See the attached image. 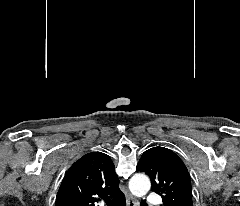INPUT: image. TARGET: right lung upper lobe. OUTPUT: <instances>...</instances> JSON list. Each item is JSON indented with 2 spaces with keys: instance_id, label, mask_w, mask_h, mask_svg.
<instances>
[{
  "instance_id": "right-lung-upper-lobe-1",
  "label": "right lung upper lobe",
  "mask_w": 240,
  "mask_h": 206,
  "mask_svg": "<svg viewBox=\"0 0 240 206\" xmlns=\"http://www.w3.org/2000/svg\"><path fill=\"white\" fill-rule=\"evenodd\" d=\"M110 157L92 152L76 161L67 171L55 206H95L103 198L115 200L123 193Z\"/></svg>"
}]
</instances>
